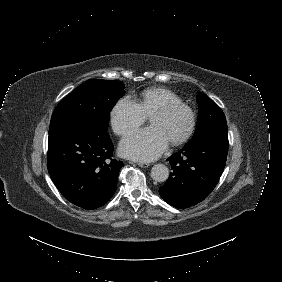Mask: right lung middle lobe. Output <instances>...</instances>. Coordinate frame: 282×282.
<instances>
[{
	"label": "right lung middle lobe",
	"instance_id": "obj_1",
	"mask_svg": "<svg viewBox=\"0 0 282 282\" xmlns=\"http://www.w3.org/2000/svg\"><path fill=\"white\" fill-rule=\"evenodd\" d=\"M121 81L91 79L67 95L52 114L49 134L73 124H84L106 134L110 112L124 95Z\"/></svg>",
	"mask_w": 282,
	"mask_h": 282
}]
</instances>
